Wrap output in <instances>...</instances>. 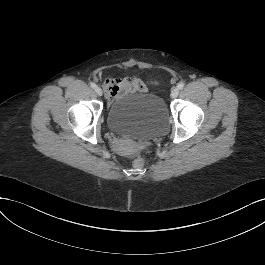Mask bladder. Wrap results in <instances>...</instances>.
Returning <instances> with one entry per match:
<instances>
[{
	"mask_svg": "<svg viewBox=\"0 0 265 265\" xmlns=\"http://www.w3.org/2000/svg\"><path fill=\"white\" fill-rule=\"evenodd\" d=\"M168 108L163 99L148 93L124 95L107 112V127L125 137H142L164 130Z\"/></svg>",
	"mask_w": 265,
	"mask_h": 265,
	"instance_id": "1",
	"label": "bladder"
}]
</instances>
